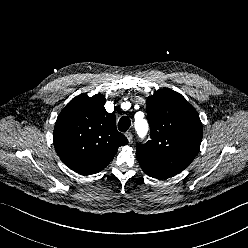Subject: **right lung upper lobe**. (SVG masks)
<instances>
[{
  "instance_id": "cb5924a9",
  "label": "right lung upper lobe",
  "mask_w": 248,
  "mask_h": 248,
  "mask_svg": "<svg viewBox=\"0 0 248 248\" xmlns=\"http://www.w3.org/2000/svg\"><path fill=\"white\" fill-rule=\"evenodd\" d=\"M105 97L86 93L72 99L59 114L54 147L61 160L81 175L103 170L118 147L128 143L116 129V117L104 108Z\"/></svg>"
}]
</instances>
